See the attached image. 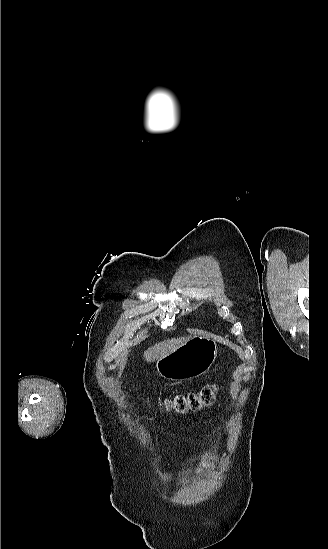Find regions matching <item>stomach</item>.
<instances>
[{
	"label": "stomach",
	"instance_id": "0dacf381",
	"mask_svg": "<svg viewBox=\"0 0 328 549\" xmlns=\"http://www.w3.org/2000/svg\"><path fill=\"white\" fill-rule=\"evenodd\" d=\"M218 353L213 335H196L182 347L158 359L157 371L168 381H192L212 367Z\"/></svg>",
	"mask_w": 328,
	"mask_h": 549
}]
</instances>
